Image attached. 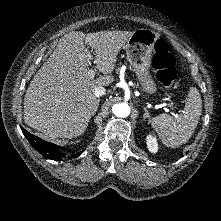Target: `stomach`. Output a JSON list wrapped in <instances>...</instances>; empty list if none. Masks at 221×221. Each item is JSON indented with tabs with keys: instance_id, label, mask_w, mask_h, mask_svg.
<instances>
[{
	"instance_id": "obj_1",
	"label": "stomach",
	"mask_w": 221,
	"mask_h": 221,
	"mask_svg": "<svg viewBox=\"0 0 221 221\" xmlns=\"http://www.w3.org/2000/svg\"><path fill=\"white\" fill-rule=\"evenodd\" d=\"M158 39V33L142 28L134 31L126 44L127 59L143 90L150 94L156 91V84L149 69L152 63L154 45Z\"/></svg>"
}]
</instances>
